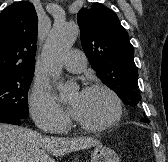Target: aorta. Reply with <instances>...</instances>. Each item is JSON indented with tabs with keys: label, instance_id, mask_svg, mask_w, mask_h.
Listing matches in <instances>:
<instances>
[{
	"label": "aorta",
	"instance_id": "762f6f07",
	"mask_svg": "<svg viewBox=\"0 0 168 162\" xmlns=\"http://www.w3.org/2000/svg\"><path fill=\"white\" fill-rule=\"evenodd\" d=\"M79 35L78 25L69 22H56L50 31L42 51L45 68L53 78L59 80L61 58L70 50ZM57 89L63 98L70 96L72 86L68 82L58 81Z\"/></svg>",
	"mask_w": 168,
	"mask_h": 162
}]
</instances>
